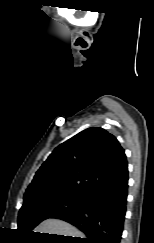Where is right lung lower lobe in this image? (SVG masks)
I'll list each match as a JSON object with an SVG mask.
<instances>
[{
    "instance_id": "obj_1",
    "label": "right lung lower lobe",
    "mask_w": 154,
    "mask_h": 243,
    "mask_svg": "<svg viewBox=\"0 0 154 243\" xmlns=\"http://www.w3.org/2000/svg\"><path fill=\"white\" fill-rule=\"evenodd\" d=\"M128 169L96 188L83 206L54 218L76 226L86 238L75 243H120L126 213Z\"/></svg>"
}]
</instances>
